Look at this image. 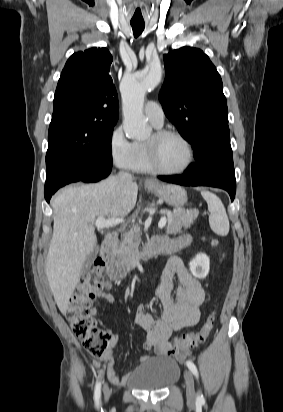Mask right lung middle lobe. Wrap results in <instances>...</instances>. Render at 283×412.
Masks as SVG:
<instances>
[{
  "mask_svg": "<svg viewBox=\"0 0 283 412\" xmlns=\"http://www.w3.org/2000/svg\"><path fill=\"white\" fill-rule=\"evenodd\" d=\"M113 127L77 113L52 117L49 127L47 169L62 163L112 162Z\"/></svg>",
  "mask_w": 283,
  "mask_h": 412,
  "instance_id": "obj_1",
  "label": "right lung middle lobe"
}]
</instances>
